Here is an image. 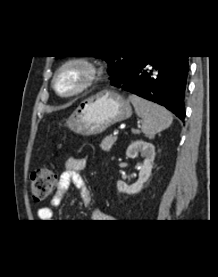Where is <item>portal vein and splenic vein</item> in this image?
<instances>
[{
	"instance_id": "1",
	"label": "portal vein and splenic vein",
	"mask_w": 218,
	"mask_h": 277,
	"mask_svg": "<svg viewBox=\"0 0 218 277\" xmlns=\"http://www.w3.org/2000/svg\"><path fill=\"white\" fill-rule=\"evenodd\" d=\"M113 134H114V135H118V134H119V131H118V130H115V131L113 132Z\"/></svg>"
}]
</instances>
